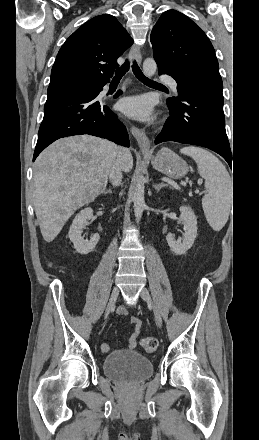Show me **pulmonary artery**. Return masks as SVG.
Listing matches in <instances>:
<instances>
[{
	"label": "pulmonary artery",
	"instance_id": "e3ab8cb5",
	"mask_svg": "<svg viewBox=\"0 0 259 440\" xmlns=\"http://www.w3.org/2000/svg\"><path fill=\"white\" fill-rule=\"evenodd\" d=\"M161 81L168 84L173 91H175V92L177 91L178 84L174 78H172L170 76H162Z\"/></svg>",
	"mask_w": 259,
	"mask_h": 440
}]
</instances>
